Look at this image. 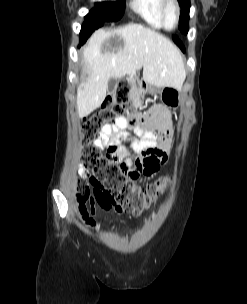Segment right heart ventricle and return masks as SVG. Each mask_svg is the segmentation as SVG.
<instances>
[{"label": "right heart ventricle", "instance_id": "obj_1", "mask_svg": "<svg viewBox=\"0 0 247 304\" xmlns=\"http://www.w3.org/2000/svg\"><path fill=\"white\" fill-rule=\"evenodd\" d=\"M162 0H133L132 9L151 27L162 29L160 17Z\"/></svg>", "mask_w": 247, "mask_h": 304}]
</instances>
